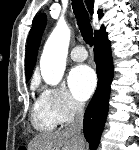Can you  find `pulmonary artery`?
<instances>
[{
    "label": "pulmonary artery",
    "mask_w": 139,
    "mask_h": 150,
    "mask_svg": "<svg viewBox=\"0 0 139 150\" xmlns=\"http://www.w3.org/2000/svg\"><path fill=\"white\" fill-rule=\"evenodd\" d=\"M88 56L87 51L81 45L74 47L70 52V57L76 62L84 61Z\"/></svg>",
    "instance_id": "obj_1"
}]
</instances>
